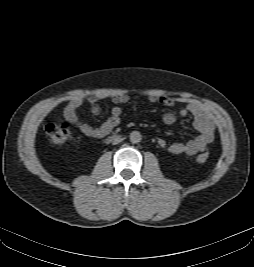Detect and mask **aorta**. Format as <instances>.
<instances>
[{
  "mask_svg": "<svg viewBox=\"0 0 254 267\" xmlns=\"http://www.w3.org/2000/svg\"><path fill=\"white\" fill-rule=\"evenodd\" d=\"M142 140V135L139 131H132L130 133V141L132 143H139Z\"/></svg>",
  "mask_w": 254,
  "mask_h": 267,
  "instance_id": "obj_1",
  "label": "aorta"
}]
</instances>
